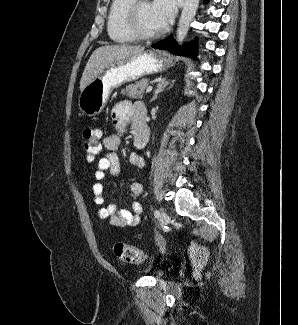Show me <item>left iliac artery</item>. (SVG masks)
<instances>
[{
    "mask_svg": "<svg viewBox=\"0 0 298 325\" xmlns=\"http://www.w3.org/2000/svg\"><path fill=\"white\" fill-rule=\"evenodd\" d=\"M154 216H155L156 218H159V217H160V212H159V210H155V211H154Z\"/></svg>",
    "mask_w": 298,
    "mask_h": 325,
    "instance_id": "left-iliac-artery-1",
    "label": "left iliac artery"
}]
</instances>
